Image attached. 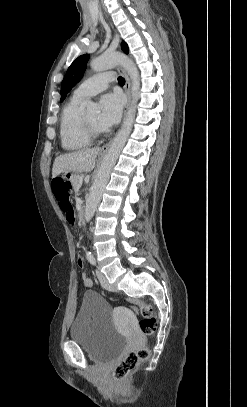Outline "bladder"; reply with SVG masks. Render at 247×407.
I'll list each match as a JSON object with an SVG mask.
<instances>
[{
  "label": "bladder",
  "mask_w": 247,
  "mask_h": 407,
  "mask_svg": "<svg viewBox=\"0 0 247 407\" xmlns=\"http://www.w3.org/2000/svg\"><path fill=\"white\" fill-rule=\"evenodd\" d=\"M112 312L113 308L98 293H83L70 336L93 361L108 362L116 358L126 345V335L113 324Z\"/></svg>",
  "instance_id": "31cf9c89"
}]
</instances>
